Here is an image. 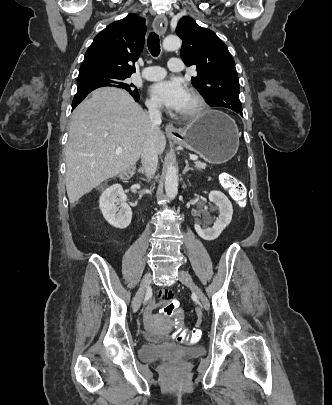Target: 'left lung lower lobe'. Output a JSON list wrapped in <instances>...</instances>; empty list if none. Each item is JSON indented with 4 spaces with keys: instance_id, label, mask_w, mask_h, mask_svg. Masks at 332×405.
I'll list each match as a JSON object with an SVG mask.
<instances>
[{
    "instance_id": "1",
    "label": "left lung lower lobe",
    "mask_w": 332,
    "mask_h": 405,
    "mask_svg": "<svg viewBox=\"0 0 332 405\" xmlns=\"http://www.w3.org/2000/svg\"><path fill=\"white\" fill-rule=\"evenodd\" d=\"M235 112L242 114V108L239 109V110H237V111H235Z\"/></svg>"
}]
</instances>
